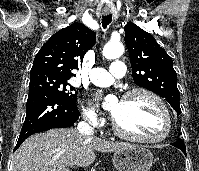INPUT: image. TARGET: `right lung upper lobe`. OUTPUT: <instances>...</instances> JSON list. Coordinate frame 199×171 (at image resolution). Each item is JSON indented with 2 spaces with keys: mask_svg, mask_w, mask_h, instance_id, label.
Returning <instances> with one entry per match:
<instances>
[{
  "mask_svg": "<svg viewBox=\"0 0 199 171\" xmlns=\"http://www.w3.org/2000/svg\"><path fill=\"white\" fill-rule=\"evenodd\" d=\"M95 33L82 23H73L56 32L37 53L30 77L52 75L64 79L73 76L85 53L94 46Z\"/></svg>",
  "mask_w": 199,
  "mask_h": 171,
  "instance_id": "right-lung-upper-lobe-1",
  "label": "right lung upper lobe"
}]
</instances>
